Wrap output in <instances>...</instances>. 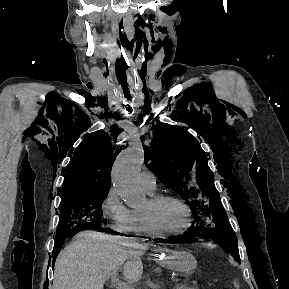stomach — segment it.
Instances as JSON below:
<instances>
[{
    "label": "stomach",
    "mask_w": 289,
    "mask_h": 289,
    "mask_svg": "<svg viewBox=\"0 0 289 289\" xmlns=\"http://www.w3.org/2000/svg\"><path fill=\"white\" fill-rule=\"evenodd\" d=\"M163 262L173 271L191 275L197 267L196 258L188 251L166 252Z\"/></svg>",
    "instance_id": "0dacf381"
}]
</instances>
